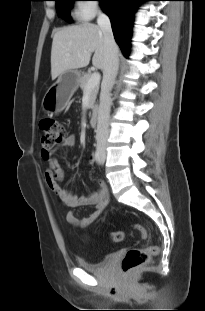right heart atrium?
Listing matches in <instances>:
<instances>
[{
  "instance_id": "obj_1",
  "label": "right heart atrium",
  "mask_w": 205,
  "mask_h": 311,
  "mask_svg": "<svg viewBox=\"0 0 205 311\" xmlns=\"http://www.w3.org/2000/svg\"><path fill=\"white\" fill-rule=\"evenodd\" d=\"M99 7L93 0H80L77 5L76 14L82 19H91L97 12Z\"/></svg>"
}]
</instances>
